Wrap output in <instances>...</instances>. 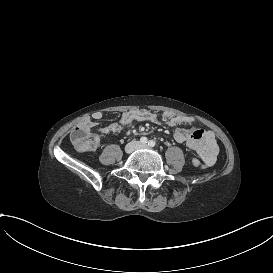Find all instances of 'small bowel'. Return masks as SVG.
Here are the masks:
<instances>
[{
    "mask_svg": "<svg viewBox=\"0 0 273 273\" xmlns=\"http://www.w3.org/2000/svg\"><path fill=\"white\" fill-rule=\"evenodd\" d=\"M102 117V112L95 111L91 116H87L83 120L91 121L96 126L97 121ZM143 121L161 122L167 126H180L174 132L175 139L194 150L202 158L204 167H211L215 164L218 155V144L214 132L193 126L192 119L182 114L164 112L160 116L157 112L146 109L128 110L122 113L118 121L101 128L98 133L92 136L97 138L99 144L101 136L120 134L134 122Z\"/></svg>",
    "mask_w": 273,
    "mask_h": 273,
    "instance_id": "obj_1",
    "label": "small bowel"
}]
</instances>
